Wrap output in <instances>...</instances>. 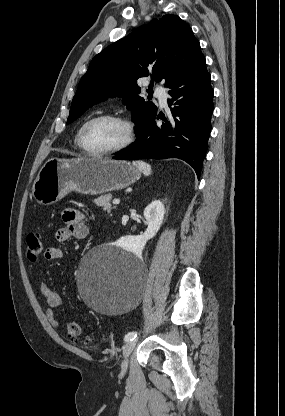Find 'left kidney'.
<instances>
[{
	"instance_id": "left-kidney-1",
	"label": "left kidney",
	"mask_w": 285,
	"mask_h": 416,
	"mask_svg": "<svg viewBox=\"0 0 285 416\" xmlns=\"http://www.w3.org/2000/svg\"><path fill=\"white\" fill-rule=\"evenodd\" d=\"M164 214V204H162L160 200H154V202L149 204L144 210V216L148 224L147 230H145L144 234H140V236H125V238H122L123 246L131 248V250H135V252H142L148 240L154 238L158 230H160L161 224H163Z\"/></svg>"
}]
</instances>
